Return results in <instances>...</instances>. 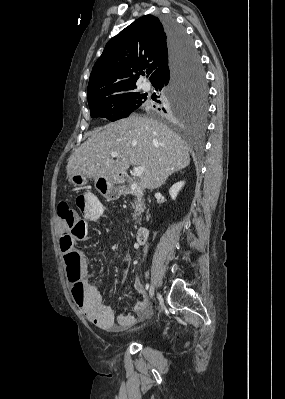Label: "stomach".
Here are the masks:
<instances>
[{
    "instance_id": "stomach-1",
    "label": "stomach",
    "mask_w": 285,
    "mask_h": 399,
    "mask_svg": "<svg viewBox=\"0 0 285 399\" xmlns=\"http://www.w3.org/2000/svg\"><path fill=\"white\" fill-rule=\"evenodd\" d=\"M68 181L75 187H81L86 184V177L74 173L68 176ZM124 180L118 177H97L95 178V188L108 200H117L124 193Z\"/></svg>"
}]
</instances>
